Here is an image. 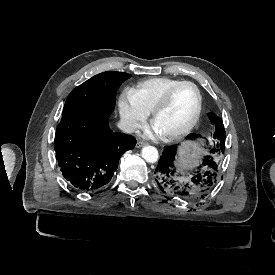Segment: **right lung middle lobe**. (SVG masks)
<instances>
[{
	"label": "right lung middle lobe",
	"instance_id": "dd1d6c3e",
	"mask_svg": "<svg viewBox=\"0 0 275 275\" xmlns=\"http://www.w3.org/2000/svg\"><path fill=\"white\" fill-rule=\"evenodd\" d=\"M130 77L127 73L117 71L95 75L69 94L63 112H95L109 117L114 109L117 89Z\"/></svg>",
	"mask_w": 275,
	"mask_h": 275
}]
</instances>
